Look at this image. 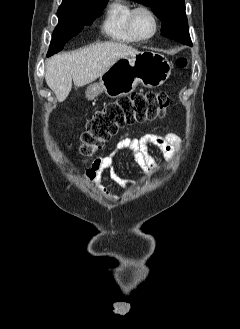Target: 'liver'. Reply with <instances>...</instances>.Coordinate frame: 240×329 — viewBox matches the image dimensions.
<instances>
[{"instance_id":"obj_1","label":"liver","mask_w":240,"mask_h":329,"mask_svg":"<svg viewBox=\"0 0 240 329\" xmlns=\"http://www.w3.org/2000/svg\"><path fill=\"white\" fill-rule=\"evenodd\" d=\"M139 51L119 42L91 45L77 51L53 56L46 64L45 80L63 102L75 86H84L102 76L118 59L135 56Z\"/></svg>"}]
</instances>
